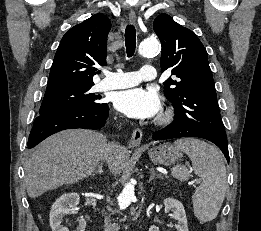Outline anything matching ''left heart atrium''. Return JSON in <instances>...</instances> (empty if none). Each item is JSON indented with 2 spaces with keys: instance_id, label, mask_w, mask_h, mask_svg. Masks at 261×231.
Segmentation results:
<instances>
[{
  "instance_id": "obj_1",
  "label": "left heart atrium",
  "mask_w": 261,
  "mask_h": 231,
  "mask_svg": "<svg viewBox=\"0 0 261 231\" xmlns=\"http://www.w3.org/2000/svg\"><path fill=\"white\" fill-rule=\"evenodd\" d=\"M115 107L130 117L148 119L159 114L161 102L155 90L136 87L119 92Z\"/></svg>"
}]
</instances>
